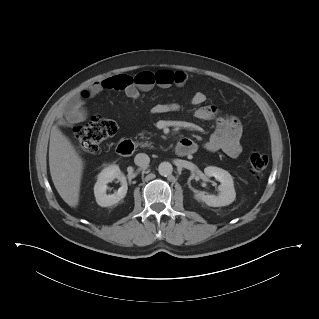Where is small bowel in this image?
I'll list each match as a JSON object with an SVG mask.
<instances>
[{
    "mask_svg": "<svg viewBox=\"0 0 319 319\" xmlns=\"http://www.w3.org/2000/svg\"><path fill=\"white\" fill-rule=\"evenodd\" d=\"M141 74L148 75L151 80L145 77L141 82H136L135 78ZM132 78L128 75H112L99 80L98 82L85 87L77 97L73 98L66 105L64 117L59 121L60 125H71L83 122L88 114L85 109L86 102L103 91L120 90L131 99L140 96V90L146 91L154 85L168 88L172 85H183L188 76L183 71L160 70L157 72L145 71ZM207 96L203 92H196L191 98V104L197 108L194 116L203 121H214L215 129L204 147L210 152L223 151L232 158H237L242 153L241 139L243 128L240 121L232 115L222 113L219 108L213 105H205ZM180 109L177 103L158 104L153 107L155 114L175 112ZM195 152V151H194Z\"/></svg>",
    "mask_w": 319,
    "mask_h": 319,
    "instance_id": "obj_1",
    "label": "small bowel"
}]
</instances>
